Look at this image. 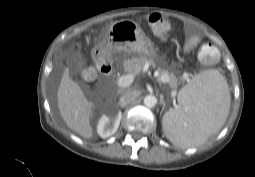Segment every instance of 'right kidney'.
<instances>
[{
  "mask_svg": "<svg viewBox=\"0 0 255 177\" xmlns=\"http://www.w3.org/2000/svg\"><path fill=\"white\" fill-rule=\"evenodd\" d=\"M122 118L121 111L110 115H103L98 121L97 132L101 138L112 136L118 129Z\"/></svg>",
  "mask_w": 255,
  "mask_h": 177,
  "instance_id": "obj_1",
  "label": "right kidney"
}]
</instances>
